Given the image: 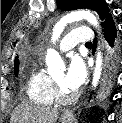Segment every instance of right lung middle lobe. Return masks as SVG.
Returning <instances> with one entry per match:
<instances>
[{
  "label": "right lung middle lobe",
  "mask_w": 122,
  "mask_h": 123,
  "mask_svg": "<svg viewBox=\"0 0 122 123\" xmlns=\"http://www.w3.org/2000/svg\"><path fill=\"white\" fill-rule=\"evenodd\" d=\"M18 69H19V66H17V67H15V76H17L18 75Z\"/></svg>",
  "instance_id": "1"
}]
</instances>
